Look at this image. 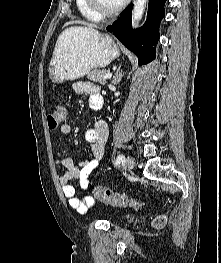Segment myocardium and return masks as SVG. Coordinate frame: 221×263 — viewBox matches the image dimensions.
<instances>
[{
    "label": "myocardium",
    "mask_w": 221,
    "mask_h": 263,
    "mask_svg": "<svg viewBox=\"0 0 221 263\" xmlns=\"http://www.w3.org/2000/svg\"><path fill=\"white\" fill-rule=\"evenodd\" d=\"M127 0H122L120 5L112 10L104 9L99 0H86L87 6L100 18L114 17L122 11L125 7Z\"/></svg>",
    "instance_id": "f54148a6"
}]
</instances>
